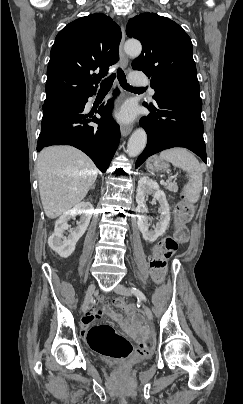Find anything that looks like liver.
Returning a JSON list of instances; mask_svg holds the SVG:
<instances>
[{
	"mask_svg": "<svg viewBox=\"0 0 243 404\" xmlns=\"http://www.w3.org/2000/svg\"><path fill=\"white\" fill-rule=\"evenodd\" d=\"M37 174L43 210L47 218H58L84 200L98 170L80 150L51 146L40 152Z\"/></svg>",
	"mask_w": 243,
	"mask_h": 404,
	"instance_id": "6515ba94",
	"label": "liver"
}]
</instances>
